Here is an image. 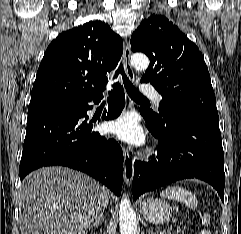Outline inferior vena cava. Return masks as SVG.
Instances as JSON below:
<instances>
[{
  "label": "inferior vena cava",
  "mask_w": 241,
  "mask_h": 234,
  "mask_svg": "<svg viewBox=\"0 0 241 234\" xmlns=\"http://www.w3.org/2000/svg\"><path fill=\"white\" fill-rule=\"evenodd\" d=\"M106 203H107V199H106L105 202L103 203V206H104V207L106 206Z\"/></svg>",
  "instance_id": "obj_1"
}]
</instances>
